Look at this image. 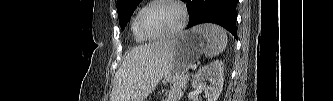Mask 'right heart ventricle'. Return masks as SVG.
I'll list each match as a JSON object with an SVG mask.
<instances>
[{
	"mask_svg": "<svg viewBox=\"0 0 333 101\" xmlns=\"http://www.w3.org/2000/svg\"><path fill=\"white\" fill-rule=\"evenodd\" d=\"M138 13H139V11H137L132 18L131 31H132L134 40L138 43H143V42L147 41L148 39L146 37H144L143 35H141L140 32L138 31L137 23H136Z\"/></svg>",
	"mask_w": 333,
	"mask_h": 101,
	"instance_id": "right-heart-ventricle-1",
	"label": "right heart ventricle"
}]
</instances>
